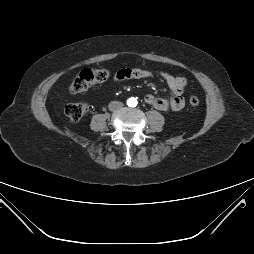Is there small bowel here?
Listing matches in <instances>:
<instances>
[{"label":"small bowel","instance_id":"c3829d8e","mask_svg":"<svg viewBox=\"0 0 254 254\" xmlns=\"http://www.w3.org/2000/svg\"><path fill=\"white\" fill-rule=\"evenodd\" d=\"M159 76L169 87L170 93L165 97H156L152 94H147L144 100L147 104L153 106L157 110L180 111L184 108L185 102L183 93L187 86V80L184 77L174 76L164 71H154L149 69L139 68H124L116 72L114 81L128 79H149Z\"/></svg>","mask_w":254,"mask_h":254}]
</instances>
